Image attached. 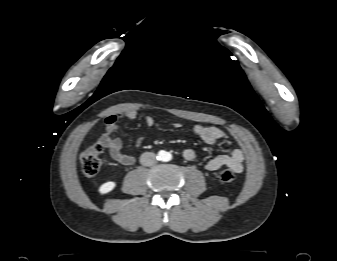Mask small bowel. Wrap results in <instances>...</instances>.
Wrapping results in <instances>:
<instances>
[{
  "label": "small bowel",
  "mask_w": 337,
  "mask_h": 261,
  "mask_svg": "<svg viewBox=\"0 0 337 261\" xmlns=\"http://www.w3.org/2000/svg\"><path fill=\"white\" fill-rule=\"evenodd\" d=\"M138 117V113L135 110H128L118 114H111L105 118V130L99 138L100 144L103 145L109 152L110 157L116 162L129 166L135 162V158L131 155L125 154L122 151V140L116 137L114 134L119 129L118 122L121 119L135 120ZM144 122L147 126L151 127L155 124V120L152 116L146 115ZM175 129L181 127L179 122L173 124ZM193 132L199 136L207 144L213 145L221 139L227 138V135L223 130L216 126H205L196 124L193 127ZM144 141L143 137H139L136 140V146L140 147ZM183 157L192 161L196 157V153L193 149L187 148L183 151ZM244 153L241 149H234L228 155H218L210 159L205 168L207 171L214 172L221 167H228L235 173H241L243 171Z\"/></svg>",
  "instance_id": "small-bowel-1"
}]
</instances>
